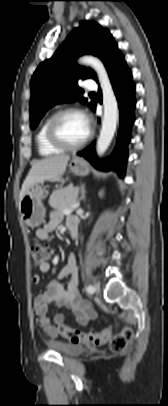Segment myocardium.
Returning a JSON list of instances; mask_svg holds the SVG:
<instances>
[{
    "mask_svg": "<svg viewBox=\"0 0 168 406\" xmlns=\"http://www.w3.org/2000/svg\"><path fill=\"white\" fill-rule=\"evenodd\" d=\"M69 113H77V114H81L82 116H85L84 112L77 107H67V108L61 109V110L57 111L50 118L48 125H47V130H46V136H47V139L50 142V144H52L53 146L58 147L62 150L78 149V148L82 147L83 145H85L89 141V139L92 135V132L89 130L87 136L77 143H67V142L63 141L58 135L57 124L64 115L69 114Z\"/></svg>",
    "mask_w": 168,
    "mask_h": 406,
    "instance_id": "obj_1",
    "label": "myocardium"
}]
</instances>
